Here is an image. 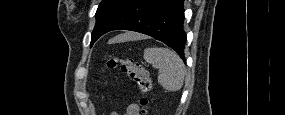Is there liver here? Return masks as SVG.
I'll return each mask as SVG.
<instances>
[{
    "label": "liver",
    "mask_w": 285,
    "mask_h": 115,
    "mask_svg": "<svg viewBox=\"0 0 285 115\" xmlns=\"http://www.w3.org/2000/svg\"><path fill=\"white\" fill-rule=\"evenodd\" d=\"M125 36V39H128V38H139L140 35L138 34H127V35H124ZM113 42H117V41H113Z\"/></svg>",
    "instance_id": "1"
}]
</instances>
